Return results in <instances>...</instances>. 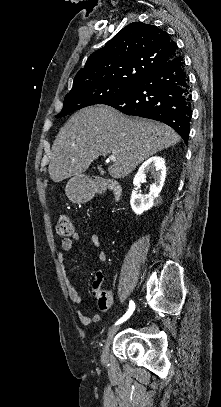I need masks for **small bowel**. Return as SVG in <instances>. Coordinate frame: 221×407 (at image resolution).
Instances as JSON below:
<instances>
[{
	"label": "small bowel",
	"mask_w": 221,
	"mask_h": 407,
	"mask_svg": "<svg viewBox=\"0 0 221 407\" xmlns=\"http://www.w3.org/2000/svg\"><path fill=\"white\" fill-rule=\"evenodd\" d=\"M80 240H81V235L78 232H74L71 237L63 238L60 243V250L57 252V260L60 263H63L65 260V254L69 253L72 249L73 242L80 241ZM91 241L95 245L99 246V244H100L99 235L97 233H92ZM98 257L100 260L104 261L106 259V255H105L104 251L100 250L98 253ZM63 277H64V285H65V288H66V291H67V294H68L70 300L74 304H77V305L81 304L83 301V298H82L81 294L79 293V291L77 290L76 285L64 273H63ZM103 278H104V274L101 270L94 271L93 280H92V284H91V286H92L91 295L98 302L101 299H106L109 302H111L112 297H111L110 293L103 292V294L101 295V294H98L93 291V286L95 284H101L103 281ZM77 315H78L79 321L84 325H89L91 323L99 322L101 319L99 314H95L93 317H90L89 315H87L86 313H84L82 311H78Z\"/></svg>",
	"instance_id": "c3829d8e"
}]
</instances>
